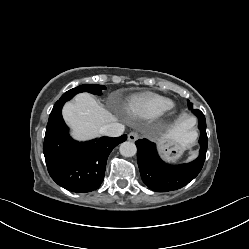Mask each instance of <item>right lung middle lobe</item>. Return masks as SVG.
<instances>
[{
  "label": "right lung middle lobe",
  "instance_id": "dd1d6c3e",
  "mask_svg": "<svg viewBox=\"0 0 249 249\" xmlns=\"http://www.w3.org/2000/svg\"><path fill=\"white\" fill-rule=\"evenodd\" d=\"M104 89H106V87L103 85H97V84L80 85L64 93L61 96V98L56 102L55 105H58L60 103H65L66 101L70 100L73 96H75L77 93H80V92H89L92 94L101 95V90H104Z\"/></svg>",
  "mask_w": 249,
  "mask_h": 249
}]
</instances>
